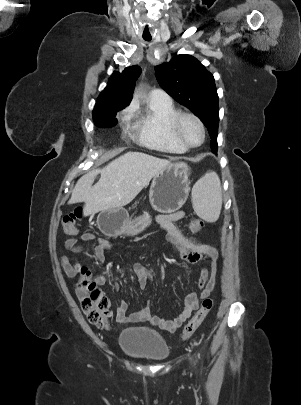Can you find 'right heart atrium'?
Returning <instances> with one entry per match:
<instances>
[{"label":"right heart atrium","instance_id":"obj_1","mask_svg":"<svg viewBox=\"0 0 301 405\" xmlns=\"http://www.w3.org/2000/svg\"><path fill=\"white\" fill-rule=\"evenodd\" d=\"M131 111H132L131 107L126 108V109L124 110V112H123V116H124L125 118H129V115H130Z\"/></svg>","mask_w":301,"mask_h":405}]
</instances>
